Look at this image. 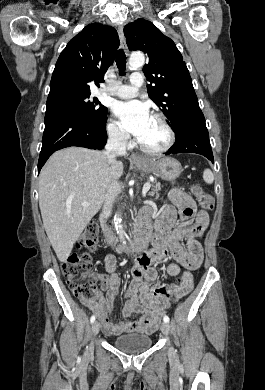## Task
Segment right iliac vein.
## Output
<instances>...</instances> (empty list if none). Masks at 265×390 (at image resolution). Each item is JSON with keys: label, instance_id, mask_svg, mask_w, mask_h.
Listing matches in <instances>:
<instances>
[{"label": "right iliac vein", "instance_id": "63e3f726", "mask_svg": "<svg viewBox=\"0 0 265 390\" xmlns=\"http://www.w3.org/2000/svg\"><path fill=\"white\" fill-rule=\"evenodd\" d=\"M99 328H100V325H99V322L98 321H95L92 325V335L93 336H96L99 332ZM93 348H94V342L93 340L91 341V343L89 344L88 348H87V351H86V355L87 356H90L92 355L93 353Z\"/></svg>", "mask_w": 265, "mask_h": 390}]
</instances>
